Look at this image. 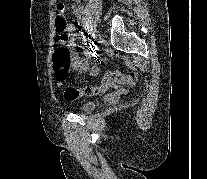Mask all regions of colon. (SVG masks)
I'll list each match as a JSON object with an SVG mask.
<instances>
[{
  "instance_id": "1",
  "label": "colon",
  "mask_w": 207,
  "mask_h": 179,
  "mask_svg": "<svg viewBox=\"0 0 207 179\" xmlns=\"http://www.w3.org/2000/svg\"><path fill=\"white\" fill-rule=\"evenodd\" d=\"M69 7L65 4L59 5V14L56 17V28L58 35L56 37L58 46L53 54V68L55 79L63 83L69 76L71 64V52L67 47L69 36L66 32L68 21L66 12ZM138 75L136 73L123 74L118 71H109L103 77L102 83L97 86H86L84 88L66 87L64 89V98L68 101H75L81 96H93L105 93L115 85L133 84Z\"/></svg>"
}]
</instances>
